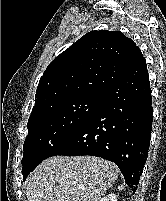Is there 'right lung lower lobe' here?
Segmentation results:
<instances>
[{"label": "right lung lower lobe", "mask_w": 166, "mask_h": 201, "mask_svg": "<svg viewBox=\"0 0 166 201\" xmlns=\"http://www.w3.org/2000/svg\"><path fill=\"white\" fill-rule=\"evenodd\" d=\"M152 116L149 75L143 58L101 95L91 115L48 157L92 155L110 160L134 193L148 156Z\"/></svg>", "instance_id": "obj_1"}]
</instances>
